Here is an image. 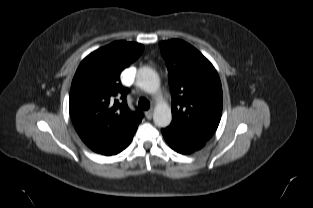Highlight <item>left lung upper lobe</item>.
Returning <instances> with one entry per match:
<instances>
[{"instance_id": "1", "label": "left lung upper lobe", "mask_w": 313, "mask_h": 208, "mask_svg": "<svg viewBox=\"0 0 313 208\" xmlns=\"http://www.w3.org/2000/svg\"><path fill=\"white\" fill-rule=\"evenodd\" d=\"M172 94V122L165 128L176 137L205 144L222 113V86L213 65L193 46L172 39L159 43Z\"/></svg>"}]
</instances>
